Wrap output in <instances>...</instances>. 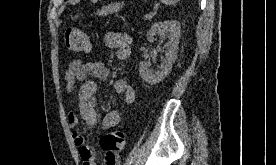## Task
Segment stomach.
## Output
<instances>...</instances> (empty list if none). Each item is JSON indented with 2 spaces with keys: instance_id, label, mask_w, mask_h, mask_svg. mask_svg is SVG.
Here are the masks:
<instances>
[{
  "instance_id": "stomach-1",
  "label": "stomach",
  "mask_w": 276,
  "mask_h": 165,
  "mask_svg": "<svg viewBox=\"0 0 276 165\" xmlns=\"http://www.w3.org/2000/svg\"><path fill=\"white\" fill-rule=\"evenodd\" d=\"M122 5L119 2L111 3L107 6L102 7L101 10L97 11L98 15H108L118 12L121 9Z\"/></svg>"
}]
</instances>
